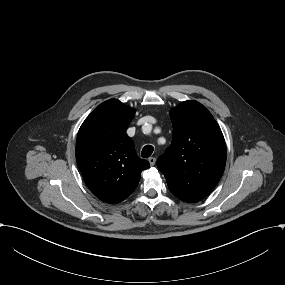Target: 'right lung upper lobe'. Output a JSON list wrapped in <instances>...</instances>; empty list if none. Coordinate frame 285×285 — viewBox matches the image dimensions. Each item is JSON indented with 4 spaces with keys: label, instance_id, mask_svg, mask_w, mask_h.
Here are the masks:
<instances>
[{
    "label": "right lung upper lobe",
    "instance_id": "1",
    "mask_svg": "<svg viewBox=\"0 0 285 285\" xmlns=\"http://www.w3.org/2000/svg\"><path fill=\"white\" fill-rule=\"evenodd\" d=\"M135 109L117 99L103 102L81 125L76 160L85 183L100 200L116 204L137 187L141 172L150 167L135 152L126 134Z\"/></svg>",
    "mask_w": 285,
    "mask_h": 285
}]
</instances>
